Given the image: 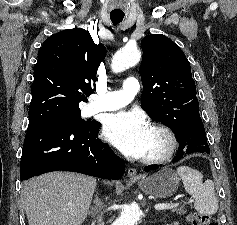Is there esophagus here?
Returning <instances> with one entry per match:
<instances>
[{"mask_svg":"<svg viewBox=\"0 0 237 225\" xmlns=\"http://www.w3.org/2000/svg\"><path fill=\"white\" fill-rule=\"evenodd\" d=\"M127 175L129 178H138L137 170L135 168H129Z\"/></svg>","mask_w":237,"mask_h":225,"instance_id":"esophagus-1","label":"esophagus"}]
</instances>
